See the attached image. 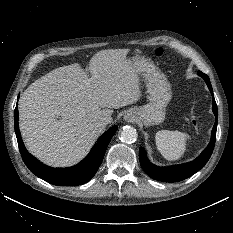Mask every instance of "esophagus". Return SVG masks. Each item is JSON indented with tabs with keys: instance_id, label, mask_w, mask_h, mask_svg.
<instances>
[{
	"instance_id": "34e87169",
	"label": "esophagus",
	"mask_w": 233,
	"mask_h": 233,
	"mask_svg": "<svg viewBox=\"0 0 233 233\" xmlns=\"http://www.w3.org/2000/svg\"><path fill=\"white\" fill-rule=\"evenodd\" d=\"M125 120H127V121L131 122V121H133V120H134V117H133V116H130V115L125 116Z\"/></svg>"
}]
</instances>
